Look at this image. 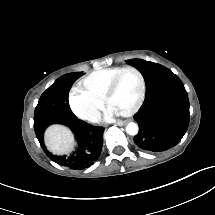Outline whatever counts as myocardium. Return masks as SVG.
Wrapping results in <instances>:
<instances>
[{
  "label": "myocardium",
  "instance_id": "f54148a6",
  "mask_svg": "<svg viewBox=\"0 0 215 215\" xmlns=\"http://www.w3.org/2000/svg\"><path fill=\"white\" fill-rule=\"evenodd\" d=\"M123 73H130L136 79V88H135L133 100L131 102V107L125 108V109L114 107L112 104V98L119 86L118 81L120 80V76ZM143 93H144V80L141 73L134 67H130V66L121 67L118 70H116L114 81L112 82V85L110 86V89L108 90V93L105 97V106L107 110L112 114L123 115V116L131 115L140 107V103L143 98Z\"/></svg>",
  "mask_w": 215,
  "mask_h": 215
}]
</instances>
